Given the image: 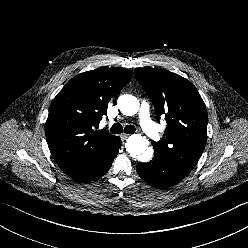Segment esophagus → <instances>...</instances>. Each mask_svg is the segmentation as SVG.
<instances>
[{"label": "esophagus", "mask_w": 248, "mask_h": 248, "mask_svg": "<svg viewBox=\"0 0 248 248\" xmlns=\"http://www.w3.org/2000/svg\"><path fill=\"white\" fill-rule=\"evenodd\" d=\"M128 136H129V134H127V133L121 134V138H122V139H126V138H128Z\"/></svg>", "instance_id": "34e87169"}]
</instances>
